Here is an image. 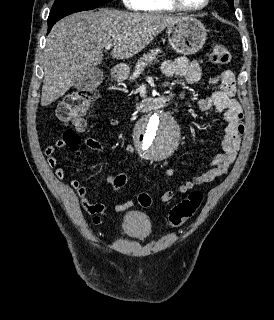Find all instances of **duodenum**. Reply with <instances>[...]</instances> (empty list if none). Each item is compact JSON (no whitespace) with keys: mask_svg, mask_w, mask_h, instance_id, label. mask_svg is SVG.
I'll return each mask as SVG.
<instances>
[{"mask_svg":"<svg viewBox=\"0 0 274 320\" xmlns=\"http://www.w3.org/2000/svg\"><path fill=\"white\" fill-rule=\"evenodd\" d=\"M115 78H119L118 74L113 75ZM172 102V99H170L167 96H158L153 98H145L141 101L140 107L144 110H151L154 108H160L165 105H168Z\"/></svg>","mask_w":274,"mask_h":320,"instance_id":"obj_1","label":"duodenum"}]
</instances>
